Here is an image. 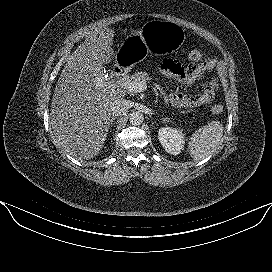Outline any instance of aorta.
Instances as JSON below:
<instances>
[{"label":"aorta","instance_id":"obj_1","mask_svg":"<svg viewBox=\"0 0 272 272\" xmlns=\"http://www.w3.org/2000/svg\"><path fill=\"white\" fill-rule=\"evenodd\" d=\"M144 120V116L142 113L140 112H132L130 114V117H129V122L132 124V125H140L142 124Z\"/></svg>","mask_w":272,"mask_h":272}]
</instances>
